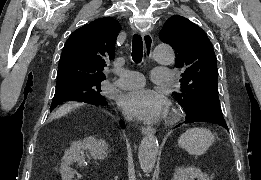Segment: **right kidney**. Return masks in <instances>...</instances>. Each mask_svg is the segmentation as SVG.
Returning a JSON list of instances; mask_svg holds the SVG:
<instances>
[{
  "label": "right kidney",
  "mask_w": 261,
  "mask_h": 180,
  "mask_svg": "<svg viewBox=\"0 0 261 180\" xmlns=\"http://www.w3.org/2000/svg\"><path fill=\"white\" fill-rule=\"evenodd\" d=\"M107 144L105 140H95V138H84L81 142H73L65 156L62 158L60 174L62 180H71L73 172L70 168L73 162H84L85 154L96 158V160H104L107 158Z\"/></svg>",
  "instance_id": "obj_1"
}]
</instances>
